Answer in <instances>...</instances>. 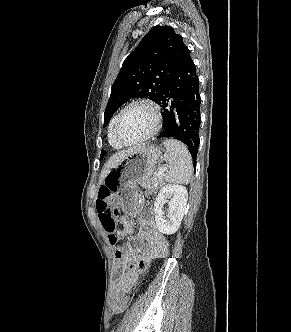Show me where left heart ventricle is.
<instances>
[{
  "instance_id": "left-heart-ventricle-1",
  "label": "left heart ventricle",
  "mask_w": 291,
  "mask_h": 332,
  "mask_svg": "<svg viewBox=\"0 0 291 332\" xmlns=\"http://www.w3.org/2000/svg\"><path fill=\"white\" fill-rule=\"evenodd\" d=\"M154 118L149 108L134 106L128 109L119 122V135L128 141L140 139L153 128Z\"/></svg>"
}]
</instances>
